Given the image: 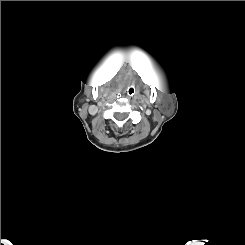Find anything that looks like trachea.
Wrapping results in <instances>:
<instances>
[{"mask_svg": "<svg viewBox=\"0 0 245 245\" xmlns=\"http://www.w3.org/2000/svg\"><path fill=\"white\" fill-rule=\"evenodd\" d=\"M135 93H136V87H135V85H133V84L129 85V86L127 87V94H128L129 96H134Z\"/></svg>", "mask_w": 245, "mask_h": 245, "instance_id": "trachea-1", "label": "trachea"}]
</instances>
